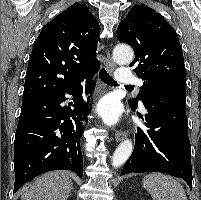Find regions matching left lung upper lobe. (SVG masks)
<instances>
[{
    "mask_svg": "<svg viewBox=\"0 0 201 200\" xmlns=\"http://www.w3.org/2000/svg\"><path fill=\"white\" fill-rule=\"evenodd\" d=\"M117 39L129 44L135 59L130 66L144 80L138 97L129 100L137 108L150 94L177 90L186 92L185 65L178 36L173 27L147 5H135L120 22Z\"/></svg>",
    "mask_w": 201,
    "mask_h": 200,
    "instance_id": "left-lung-upper-lobe-1",
    "label": "left lung upper lobe"
}]
</instances>
